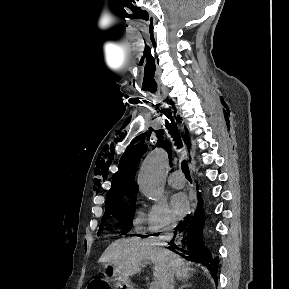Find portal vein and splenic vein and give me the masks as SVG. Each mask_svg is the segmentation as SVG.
Here are the masks:
<instances>
[{"label": "portal vein and splenic vein", "mask_w": 289, "mask_h": 289, "mask_svg": "<svg viewBox=\"0 0 289 289\" xmlns=\"http://www.w3.org/2000/svg\"><path fill=\"white\" fill-rule=\"evenodd\" d=\"M149 289H159V284L155 281L151 284Z\"/></svg>", "instance_id": "obj_1"}]
</instances>
